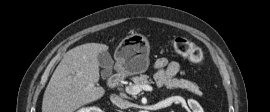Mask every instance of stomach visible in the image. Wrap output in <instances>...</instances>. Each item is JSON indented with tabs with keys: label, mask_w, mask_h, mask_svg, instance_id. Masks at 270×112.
<instances>
[{
	"label": "stomach",
	"mask_w": 270,
	"mask_h": 112,
	"mask_svg": "<svg viewBox=\"0 0 270 112\" xmlns=\"http://www.w3.org/2000/svg\"><path fill=\"white\" fill-rule=\"evenodd\" d=\"M119 67L131 74L142 73L148 67V41L140 34L127 36L115 51Z\"/></svg>",
	"instance_id": "1"
}]
</instances>
